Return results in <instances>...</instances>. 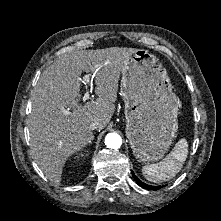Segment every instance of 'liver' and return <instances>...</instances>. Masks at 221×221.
Returning a JSON list of instances; mask_svg holds the SVG:
<instances>
[{
    "instance_id": "obj_1",
    "label": "liver",
    "mask_w": 221,
    "mask_h": 221,
    "mask_svg": "<svg viewBox=\"0 0 221 221\" xmlns=\"http://www.w3.org/2000/svg\"><path fill=\"white\" fill-rule=\"evenodd\" d=\"M137 50L110 47L72 51L59 56L40 76L31 97L30 149L36 164L53 183L61 182L68 158L92 139L91 123L98 121L102 130L111 120L120 74ZM83 71L94 75L97 98L82 105Z\"/></svg>"
}]
</instances>
